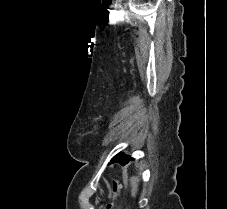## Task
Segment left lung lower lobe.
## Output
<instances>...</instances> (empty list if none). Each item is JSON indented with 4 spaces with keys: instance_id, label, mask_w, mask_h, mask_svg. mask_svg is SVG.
Listing matches in <instances>:
<instances>
[{
    "instance_id": "left-lung-lower-lobe-1",
    "label": "left lung lower lobe",
    "mask_w": 227,
    "mask_h": 209,
    "mask_svg": "<svg viewBox=\"0 0 227 209\" xmlns=\"http://www.w3.org/2000/svg\"><path fill=\"white\" fill-rule=\"evenodd\" d=\"M131 158L129 156H123V158L121 159V161L119 163L121 164H125L126 162H128Z\"/></svg>"
}]
</instances>
